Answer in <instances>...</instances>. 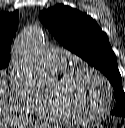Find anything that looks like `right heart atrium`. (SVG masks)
<instances>
[{
	"label": "right heart atrium",
	"mask_w": 125,
	"mask_h": 128,
	"mask_svg": "<svg viewBox=\"0 0 125 128\" xmlns=\"http://www.w3.org/2000/svg\"><path fill=\"white\" fill-rule=\"evenodd\" d=\"M12 105L19 111L30 113L37 103L40 92L22 73L11 69L7 74Z\"/></svg>",
	"instance_id": "d8ad5b80"
}]
</instances>
